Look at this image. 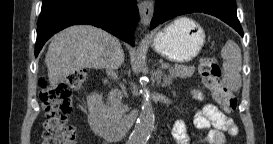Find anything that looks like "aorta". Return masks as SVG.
Listing matches in <instances>:
<instances>
[{"label": "aorta", "mask_w": 273, "mask_h": 144, "mask_svg": "<svg viewBox=\"0 0 273 144\" xmlns=\"http://www.w3.org/2000/svg\"><path fill=\"white\" fill-rule=\"evenodd\" d=\"M143 101L140 116L135 125L131 141L133 144H146L154 128L155 116L150 99V92L143 82Z\"/></svg>", "instance_id": "762f6f07"}]
</instances>
